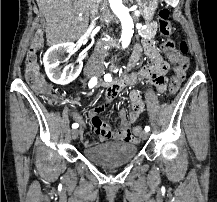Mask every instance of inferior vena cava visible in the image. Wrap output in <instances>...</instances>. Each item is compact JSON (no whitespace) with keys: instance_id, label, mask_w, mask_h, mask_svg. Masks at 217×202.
<instances>
[{"instance_id":"602c4592","label":"inferior vena cava","mask_w":217,"mask_h":202,"mask_svg":"<svg viewBox=\"0 0 217 202\" xmlns=\"http://www.w3.org/2000/svg\"><path fill=\"white\" fill-rule=\"evenodd\" d=\"M100 2L101 0H89V8L92 18H94L96 12H98ZM93 56H97V58H105V56H107L106 50H95Z\"/></svg>"}]
</instances>
